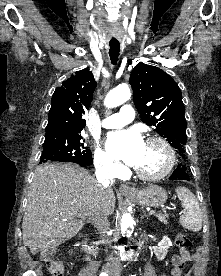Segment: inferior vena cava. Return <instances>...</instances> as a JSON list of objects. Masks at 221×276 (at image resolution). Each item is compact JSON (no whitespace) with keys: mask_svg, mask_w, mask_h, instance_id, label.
<instances>
[{"mask_svg":"<svg viewBox=\"0 0 221 276\" xmlns=\"http://www.w3.org/2000/svg\"><path fill=\"white\" fill-rule=\"evenodd\" d=\"M97 182L104 188H107L110 184L111 174L110 169L106 166L104 169L96 170ZM90 220L92 221L94 227L97 229L102 239L101 242L105 243L107 241L106 236L110 229V223L108 221L107 215L103 210L95 209L91 214Z\"/></svg>","mask_w":221,"mask_h":276,"instance_id":"1","label":"inferior vena cava"}]
</instances>
